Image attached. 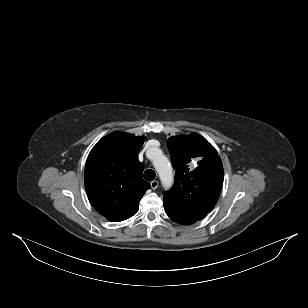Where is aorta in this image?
Masks as SVG:
<instances>
[{"instance_id":"1","label":"aorta","mask_w":308,"mask_h":308,"mask_svg":"<svg viewBox=\"0 0 308 308\" xmlns=\"http://www.w3.org/2000/svg\"><path fill=\"white\" fill-rule=\"evenodd\" d=\"M153 164L159 174L162 185L164 187H170L173 182L172 167L168 158L165 157L158 149L155 151Z\"/></svg>"}]
</instances>
